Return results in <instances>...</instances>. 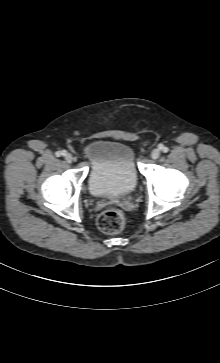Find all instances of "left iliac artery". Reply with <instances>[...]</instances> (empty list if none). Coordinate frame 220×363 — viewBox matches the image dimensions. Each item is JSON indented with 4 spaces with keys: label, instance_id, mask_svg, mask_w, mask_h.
<instances>
[{
    "label": "left iliac artery",
    "instance_id": "1",
    "mask_svg": "<svg viewBox=\"0 0 220 363\" xmlns=\"http://www.w3.org/2000/svg\"><path fill=\"white\" fill-rule=\"evenodd\" d=\"M160 149H161L164 153H167V152L169 151L168 147L163 146V145H161V146H160Z\"/></svg>",
    "mask_w": 220,
    "mask_h": 363
}]
</instances>
